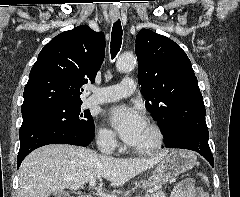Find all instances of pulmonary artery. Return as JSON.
<instances>
[{
	"label": "pulmonary artery",
	"instance_id": "pulmonary-artery-1",
	"mask_svg": "<svg viewBox=\"0 0 240 197\" xmlns=\"http://www.w3.org/2000/svg\"><path fill=\"white\" fill-rule=\"evenodd\" d=\"M136 89L135 82L131 77H125L119 84L104 87L92 88V95L89 97V104H103L114 102L119 99L128 97L134 93Z\"/></svg>",
	"mask_w": 240,
	"mask_h": 197
}]
</instances>
